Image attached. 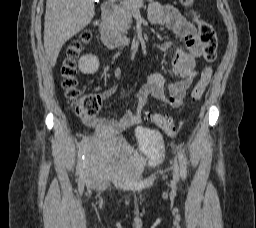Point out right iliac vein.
<instances>
[{
    "mask_svg": "<svg viewBox=\"0 0 256 228\" xmlns=\"http://www.w3.org/2000/svg\"><path fill=\"white\" fill-rule=\"evenodd\" d=\"M92 160L91 156H88V154H85V170L83 172V178L85 179L88 176L87 168L90 166V161Z\"/></svg>",
    "mask_w": 256,
    "mask_h": 228,
    "instance_id": "right-iliac-vein-1",
    "label": "right iliac vein"
}]
</instances>
